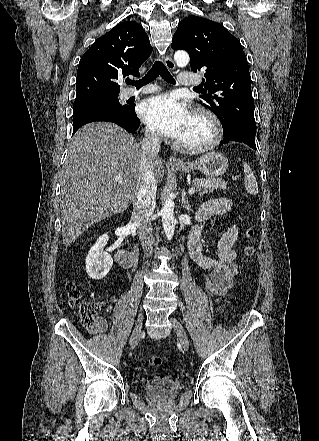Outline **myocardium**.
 Listing matches in <instances>:
<instances>
[{"instance_id":"f54148a6","label":"myocardium","mask_w":319,"mask_h":441,"mask_svg":"<svg viewBox=\"0 0 319 441\" xmlns=\"http://www.w3.org/2000/svg\"><path fill=\"white\" fill-rule=\"evenodd\" d=\"M192 116L195 118H202L206 120L211 128V136L210 138L200 144L188 145L184 144L178 140L175 141L174 146L177 150L183 153L189 154H198L209 151L213 147H215L222 138V125L219 118L210 110L206 108H196Z\"/></svg>"}]
</instances>
